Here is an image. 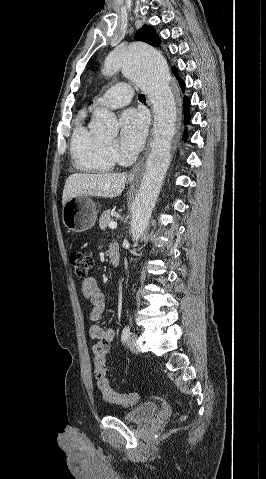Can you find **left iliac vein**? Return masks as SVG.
<instances>
[{
    "label": "left iliac vein",
    "instance_id": "4c4485c4",
    "mask_svg": "<svg viewBox=\"0 0 266 479\" xmlns=\"http://www.w3.org/2000/svg\"><path fill=\"white\" fill-rule=\"evenodd\" d=\"M127 346L133 353H139V347L137 344V335L135 333H131L127 340Z\"/></svg>",
    "mask_w": 266,
    "mask_h": 479
}]
</instances>
